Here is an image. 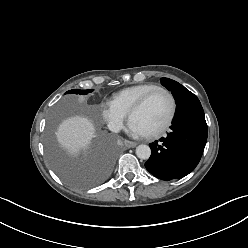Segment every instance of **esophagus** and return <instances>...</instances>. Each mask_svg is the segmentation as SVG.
Here are the masks:
<instances>
[{
  "label": "esophagus",
  "mask_w": 248,
  "mask_h": 248,
  "mask_svg": "<svg viewBox=\"0 0 248 248\" xmlns=\"http://www.w3.org/2000/svg\"><path fill=\"white\" fill-rule=\"evenodd\" d=\"M124 144L126 145L127 148H134L137 146L136 142H132V141H128V140H124Z\"/></svg>",
  "instance_id": "1"
}]
</instances>
